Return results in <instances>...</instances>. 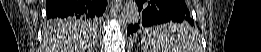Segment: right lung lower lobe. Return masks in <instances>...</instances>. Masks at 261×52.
<instances>
[{
  "label": "right lung lower lobe",
  "mask_w": 261,
  "mask_h": 52,
  "mask_svg": "<svg viewBox=\"0 0 261 52\" xmlns=\"http://www.w3.org/2000/svg\"><path fill=\"white\" fill-rule=\"evenodd\" d=\"M106 0H46L47 18L84 16L96 19L102 16Z\"/></svg>",
  "instance_id": "obj_1"
}]
</instances>
